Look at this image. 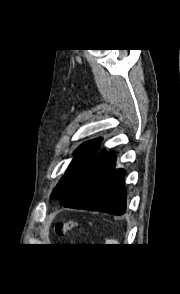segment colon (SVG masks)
<instances>
[{"instance_id": "1", "label": "colon", "mask_w": 180, "mask_h": 294, "mask_svg": "<svg viewBox=\"0 0 180 294\" xmlns=\"http://www.w3.org/2000/svg\"><path fill=\"white\" fill-rule=\"evenodd\" d=\"M77 226V224L74 221L71 220H66V221H59L56 224V233L58 235H63L66 232L72 230L73 228H75Z\"/></svg>"}]
</instances>
